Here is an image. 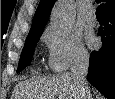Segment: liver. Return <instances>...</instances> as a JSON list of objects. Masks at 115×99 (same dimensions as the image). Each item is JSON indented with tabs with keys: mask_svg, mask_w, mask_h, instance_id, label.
Masks as SVG:
<instances>
[{
	"mask_svg": "<svg viewBox=\"0 0 115 99\" xmlns=\"http://www.w3.org/2000/svg\"><path fill=\"white\" fill-rule=\"evenodd\" d=\"M70 73L33 77L19 82L12 99H81Z\"/></svg>",
	"mask_w": 115,
	"mask_h": 99,
	"instance_id": "liver-1",
	"label": "liver"
}]
</instances>
